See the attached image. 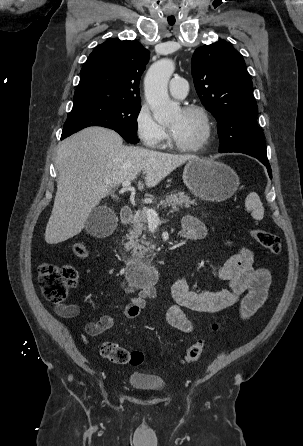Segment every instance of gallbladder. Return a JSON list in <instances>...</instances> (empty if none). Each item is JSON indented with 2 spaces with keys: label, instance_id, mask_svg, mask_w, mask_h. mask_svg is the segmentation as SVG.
Returning <instances> with one entry per match:
<instances>
[{
  "label": "gallbladder",
  "instance_id": "1",
  "mask_svg": "<svg viewBox=\"0 0 303 446\" xmlns=\"http://www.w3.org/2000/svg\"><path fill=\"white\" fill-rule=\"evenodd\" d=\"M117 223L114 211L106 206L93 209L87 218L85 229L93 236H104L111 232Z\"/></svg>",
  "mask_w": 303,
  "mask_h": 446
}]
</instances>
